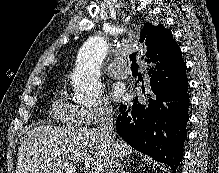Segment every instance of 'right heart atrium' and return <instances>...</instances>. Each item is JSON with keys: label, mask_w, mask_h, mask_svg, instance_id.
Masks as SVG:
<instances>
[{"label": "right heart atrium", "mask_w": 219, "mask_h": 173, "mask_svg": "<svg viewBox=\"0 0 219 173\" xmlns=\"http://www.w3.org/2000/svg\"><path fill=\"white\" fill-rule=\"evenodd\" d=\"M114 114L113 106L106 97H101L97 103L89 107L78 108L79 123L93 126L109 120Z\"/></svg>", "instance_id": "right-heart-atrium-1"}]
</instances>
